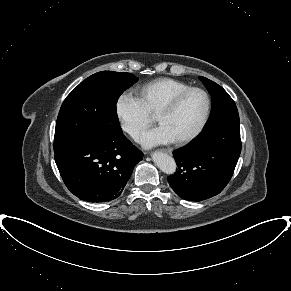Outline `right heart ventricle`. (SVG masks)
<instances>
[{"label":"right heart ventricle","mask_w":291,"mask_h":291,"mask_svg":"<svg viewBox=\"0 0 291 291\" xmlns=\"http://www.w3.org/2000/svg\"><path fill=\"white\" fill-rule=\"evenodd\" d=\"M190 87L189 84L172 79L158 78L141 85L137 92L138 98L151 115H156L159 109L176 93Z\"/></svg>","instance_id":"obj_1"}]
</instances>
